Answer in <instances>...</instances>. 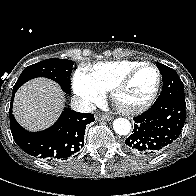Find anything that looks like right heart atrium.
<instances>
[{
    "label": "right heart atrium",
    "mask_w": 196,
    "mask_h": 196,
    "mask_svg": "<svg viewBox=\"0 0 196 196\" xmlns=\"http://www.w3.org/2000/svg\"><path fill=\"white\" fill-rule=\"evenodd\" d=\"M73 90L81 99L82 103L88 108L99 104L105 94L92 80L89 73L82 69H77L74 73Z\"/></svg>",
    "instance_id": "right-heart-atrium-1"
}]
</instances>
